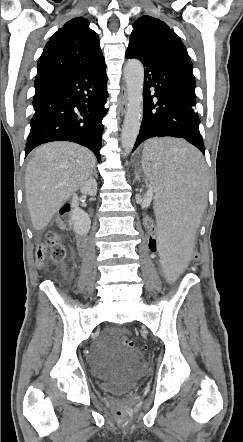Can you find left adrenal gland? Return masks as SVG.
Returning <instances> with one entry per match:
<instances>
[{"label": "left adrenal gland", "instance_id": "obj_1", "mask_svg": "<svg viewBox=\"0 0 243 442\" xmlns=\"http://www.w3.org/2000/svg\"><path fill=\"white\" fill-rule=\"evenodd\" d=\"M139 174H140V172H136V174H135V181H136V180H139V178H140V175H139Z\"/></svg>", "mask_w": 243, "mask_h": 442}]
</instances>
